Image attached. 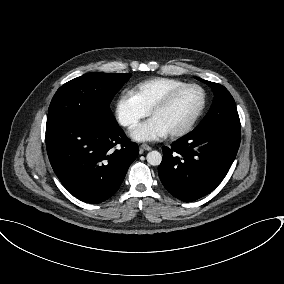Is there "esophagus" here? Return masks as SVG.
<instances>
[{
  "instance_id": "1",
  "label": "esophagus",
  "mask_w": 284,
  "mask_h": 284,
  "mask_svg": "<svg viewBox=\"0 0 284 284\" xmlns=\"http://www.w3.org/2000/svg\"><path fill=\"white\" fill-rule=\"evenodd\" d=\"M140 147L146 151H150L152 149L148 144H142Z\"/></svg>"
}]
</instances>
